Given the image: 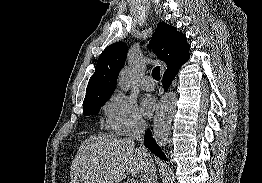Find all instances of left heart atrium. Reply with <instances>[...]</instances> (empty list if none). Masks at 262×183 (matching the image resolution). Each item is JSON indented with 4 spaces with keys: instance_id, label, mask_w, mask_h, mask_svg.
<instances>
[{
    "instance_id": "39dd6f15",
    "label": "left heart atrium",
    "mask_w": 262,
    "mask_h": 183,
    "mask_svg": "<svg viewBox=\"0 0 262 183\" xmlns=\"http://www.w3.org/2000/svg\"><path fill=\"white\" fill-rule=\"evenodd\" d=\"M155 107V99L152 96L147 95L143 97L141 101V110L144 116L150 117L153 114Z\"/></svg>"
}]
</instances>
